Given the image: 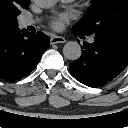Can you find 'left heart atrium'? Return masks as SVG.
<instances>
[{
    "label": "left heart atrium",
    "mask_w": 128,
    "mask_h": 128,
    "mask_svg": "<svg viewBox=\"0 0 128 128\" xmlns=\"http://www.w3.org/2000/svg\"><path fill=\"white\" fill-rule=\"evenodd\" d=\"M67 21V18L64 17V16H59V17H56L52 20L51 22V26L54 28V29H57V30H60L64 27L65 23Z\"/></svg>",
    "instance_id": "1"
}]
</instances>
